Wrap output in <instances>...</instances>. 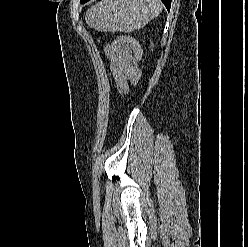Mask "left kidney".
<instances>
[{"label":"left kidney","mask_w":248,"mask_h":247,"mask_svg":"<svg viewBox=\"0 0 248 247\" xmlns=\"http://www.w3.org/2000/svg\"><path fill=\"white\" fill-rule=\"evenodd\" d=\"M154 45H153V43L150 45V47L152 48Z\"/></svg>","instance_id":"1"}]
</instances>
